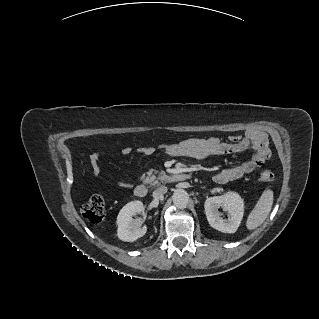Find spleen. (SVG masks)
Masks as SVG:
<instances>
[{
  "label": "spleen",
  "instance_id": "spleen-1",
  "mask_svg": "<svg viewBox=\"0 0 319 319\" xmlns=\"http://www.w3.org/2000/svg\"><path fill=\"white\" fill-rule=\"evenodd\" d=\"M273 191L265 190L259 198L254 209L247 218L246 227L248 230H254L259 227L268 217L273 205Z\"/></svg>",
  "mask_w": 319,
  "mask_h": 319
}]
</instances>
